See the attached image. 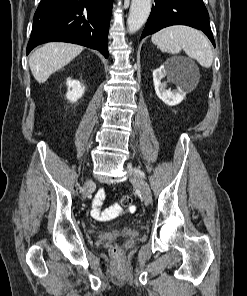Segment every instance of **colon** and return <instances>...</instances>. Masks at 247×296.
Segmentation results:
<instances>
[{
	"label": "colon",
	"instance_id": "colon-1",
	"mask_svg": "<svg viewBox=\"0 0 247 296\" xmlns=\"http://www.w3.org/2000/svg\"><path fill=\"white\" fill-rule=\"evenodd\" d=\"M132 202H133V199H132L131 195H124L120 200V206L116 205V206L112 207L111 212L106 213L103 217L105 219H108V218H111V217L117 215L119 213L121 207H129V206H131ZM112 253L116 254V255L119 253L118 245H114L112 247Z\"/></svg>",
	"mask_w": 247,
	"mask_h": 296
}]
</instances>
